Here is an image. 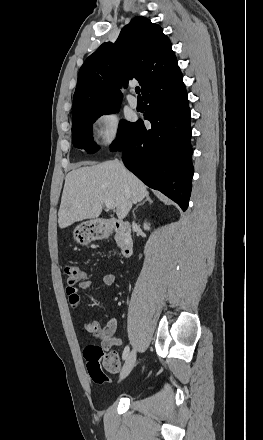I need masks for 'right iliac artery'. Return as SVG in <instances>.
Listing matches in <instances>:
<instances>
[{
  "mask_svg": "<svg viewBox=\"0 0 263 440\" xmlns=\"http://www.w3.org/2000/svg\"><path fill=\"white\" fill-rule=\"evenodd\" d=\"M128 353H129V346H126V347L124 348V351H123V354H122V358H123V360H125V359L127 358Z\"/></svg>",
  "mask_w": 263,
  "mask_h": 440,
  "instance_id": "right-iliac-artery-1",
  "label": "right iliac artery"
}]
</instances>
